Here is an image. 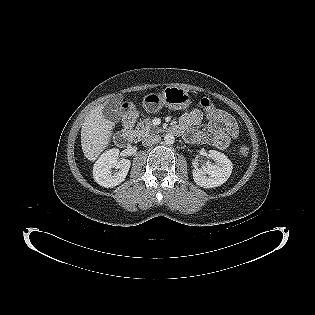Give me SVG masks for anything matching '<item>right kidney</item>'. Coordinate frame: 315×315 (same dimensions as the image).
Returning a JSON list of instances; mask_svg holds the SVG:
<instances>
[{
  "mask_svg": "<svg viewBox=\"0 0 315 315\" xmlns=\"http://www.w3.org/2000/svg\"><path fill=\"white\" fill-rule=\"evenodd\" d=\"M130 166V160L119 159L118 149H110L104 152L94 164V180L105 188H113L125 180ZM113 168L115 171H112Z\"/></svg>",
  "mask_w": 315,
  "mask_h": 315,
  "instance_id": "right-kidney-1",
  "label": "right kidney"
}]
</instances>
